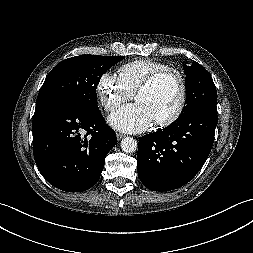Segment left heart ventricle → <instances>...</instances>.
<instances>
[{
	"label": "left heart ventricle",
	"instance_id": "b2bd125f",
	"mask_svg": "<svg viewBox=\"0 0 253 253\" xmlns=\"http://www.w3.org/2000/svg\"><path fill=\"white\" fill-rule=\"evenodd\" d=\"M178 89L171 78H165L148 91L135 96V101L145 105L151 112L154 121L169 116L178 103Z\"/></svg>",
	"mask_w": 253,
	"mask_h": 253
}]
</instances>
